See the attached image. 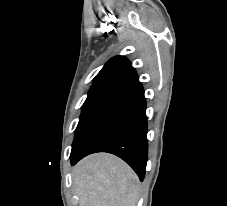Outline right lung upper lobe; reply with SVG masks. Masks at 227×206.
Listing matches in <instances>:
<instances>
[{
  "mask_svg": "<svg viewBox=\"0 0 227 206\" xmlns=\"http://www.w3.org/2000/svg\"><path fill=\"white\" fill-rule=\"evenodd\" d=\"M112 81L128 84L138 81L137 73L126 57L111 58L94 78L93 84Z\"/></svg>",
  "mask_w": 227,
  "mask_h": 206,
  "instance_id": "cb5924a9",
  "label": "right lung upper lobe"
}]
</instances>
